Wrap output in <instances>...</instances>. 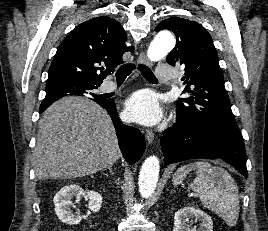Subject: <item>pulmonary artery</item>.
<instances>
[{
  "label": "pulmonary artery",
  "instance_id": "1",
  "mask_svg": "<svg viewBox=\"0 0 268 231\" xmlns=\"http://www.w3.org/2000/svg\"><path fill=\"white\" fill-rule=\"evenodd\" d=\"M155 78L162 82H169L173 79L174 73L172 66L168 64H160L154 74ZM115 88L114 83L105 84L102 88L104 92H110Z\"/></svg>",
  "mask_w": 268,
  "mask_h": 231
}]
</instances>
